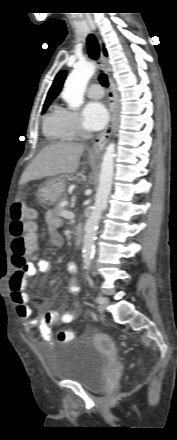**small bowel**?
Instances as JSON below:
<instances>
[{
  "instance_id": "1",
  "label": "small bowel",
  "mask_w": 177,
  "mask_h": 440,
  "mask_svg": "<svg viewBox=\"0 0 177 440\" xmlns=\"http://www.w3.org/2000/svg\"><path fill=\"white\" fill-rule=\"evenodd\" d=\"M45 221L48 226V236L51 244L62 246L64 239L58 231L62 225L61 219L52 211H48L45 214ZM50 268L51 265L48 260L34 257L25 267L15 269L8 280V288L16 305L17 314L24 322L26 333L35 341H42L48 346L54 344L52 327L60 323H71L78 315L77 304H74V308L71 311L60 313L46 303L42 306V313L38 316H33V311L28 305V296L25 292L27 280L39 272H48ZM67 269L72 276L70 279V291L76 294L79 291L76 279L74 278L77 266L74 263H69ZM34 328H37L38 332H35Z\"/></svg>"
}]
</instances>
